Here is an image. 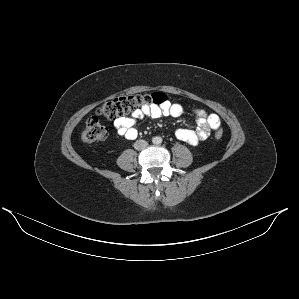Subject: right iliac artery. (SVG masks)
Listing matches in <instances>:
<instances>
[{
  "instance_id": "obj_1",
  "label": "right iliac artery",
  "mask_w": 299,
  "mask_h": 299,
  "mask_svg": "<svg viewBox=\"0 0 299 299\" xmlns=\"http://www.w3.org/2000/svg\"><path fill=\"white\" fill-rule=\"evenodd\" d=\"M153 143H156V141H155V140H153Z\"/></svg>"
}]
</instances>
